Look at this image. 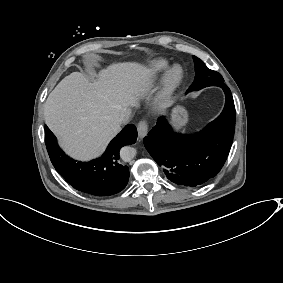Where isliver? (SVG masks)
<instances>
[{
	"mask_svg": "<svg viewBox=\"0 0 283 283\" xmlns=\"http://www.w3.org/2000/svg\"><path fill=\"white\" fill-rule=\"evenodd\" d=\"M152 75V69L135 64L114 65L93 84L82 73L73 72L48 96L45 123L70 154L90 158L118 132L119 116L128 114Z\"/></svg>",
	"mask_w": 283,
	"mask_h": 283,
	"instance_id": "1",
	"label": "liver"
}]
</instances>
